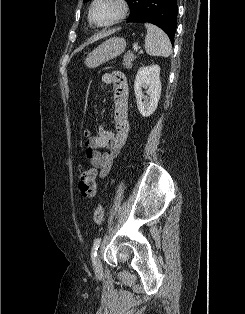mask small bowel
Instances as JSON below:
<instances>
[{
    "label": "small bowel",
    "mask_w": 245,
    "mask_h": 314,
    "mask_svg": "<svg viewBox=\"0 0 245 314\" xmlns=\"http://www.w3.org/2000/svg\"><path fill=\"white\" fill-rule=\"evenodd\" d=\"M103 87L114 88V131L103 126L98 129L97 136L85 131V155L89 164L99 170L98 176L105 178L111 172L129 131V92L125 76L119 71L107 72L101 78Z\"/></svg>",
    "instance_id": "1"
}]
</instances>
